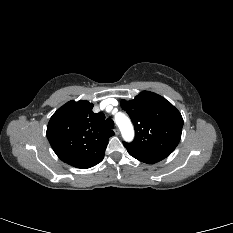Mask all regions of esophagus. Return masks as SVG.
<instances>
[{
	"instance_id": "34e87169",
	"label": "esophagus",
	"mask_w": 233,
	"mask_h": 233,
	"mask_svg": "<svg viewBox=\"0 0 233 233\" xmlns=\"http://www.w3.org/2000/svg\"><path fill=\"white\" fill-rule=\"evenodd\" d=\"M114 133H115L116 135H119V134H120V130H119L118 128H115V129H114Z\"/></svg>"
}]
</instances>
